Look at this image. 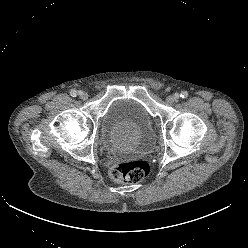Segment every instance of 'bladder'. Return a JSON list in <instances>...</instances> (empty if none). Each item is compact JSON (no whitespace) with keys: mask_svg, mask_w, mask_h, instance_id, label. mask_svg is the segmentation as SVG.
<instances>
[{"mask_svg":"<svg viewBox=\"0 0 248 248\" xmlns=\"http://www.w3.org/2000/svg\"><path fill=\"white\" fill-rule=\"evenodd\" d=\"M103 142L113 152H149L153 148L152 118L132 99L110 103L100 124Z\"/></svg>","mask_w":248,"mask_h":248,"instance_id":"1","label":"bladder"}]
</instances>
